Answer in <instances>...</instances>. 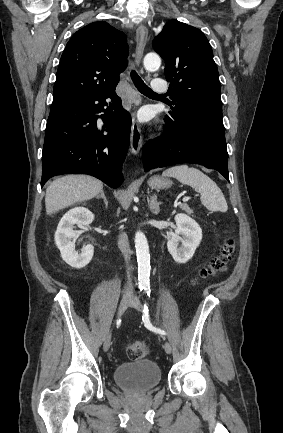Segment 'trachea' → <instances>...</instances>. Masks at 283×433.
Here are the masks:
<instances>
[{
    "instance_id": "3493384b",
    "label": "trachea",
    "mask_w": 283,
    "mask_h": 433,
    "mask_svg": "<svg viewBox=\"0 0 283 433\" xmlns=\"http://www.w3.org/2000/svg\"><path fill=\"white\" fill-rule=\"evenodd\" d=\"M130 76L137 90H139L140 93H143V95H159L158 93H155L151 88H149L146 83L143 82L142 78L139 77L138 73L135 72V70H132L130 72ZM164 95L167 94H161V96Z\"/></svg>"
}]
</instances>
